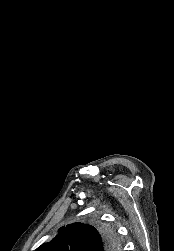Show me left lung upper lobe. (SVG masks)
I'll list each match as a JSON object with an SVG mask.
<instances>
[{
  "label": "left lung upper lobe",
  "instance_id": "left-lung-upper-lobe-1",
  "mask_svg": "<svg viewBox=\"0 0 174 251\" xmlns=\"http://www.w3.org/2000/svg\"><path fill=\"white\" fill-rule=\"evenodd\" d=\"M120 242L108 228L74 223L59 229V234L36 251H119Z\"/></svg>",
  "mask_w": 174,
  "mask_h": 251
}]
</instances>
